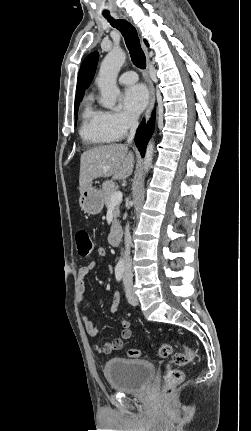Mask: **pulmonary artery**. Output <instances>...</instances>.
I'll list each match as a JSON object with an SVG mask.
<instances>
[{
	"label": "pulmonary artery",
	"instance_id": "e3ab8cb5",
	"mask_svg": "<svg viewBox=\"0 0 251 431\" xmlns=\"http://www.w3.org/2000/svg\"><path fill=\"white\" fill-rule=\"evenodd\" d=\"M137 80H138V76L134 71L124 72L118 78V81L121 84H132V83L136 82Z\"/></svg>",
	"mask_w": 251,
	"mask_h": 431
}]
</instances>
